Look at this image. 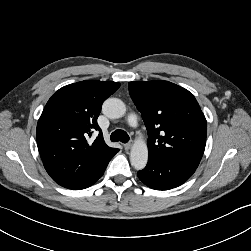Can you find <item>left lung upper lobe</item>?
<instances>
[{"mask_svg": "<svg viewBox=\"0 0 251 251\" xmlns=\"http://www.w3.org/2000/svg\"><path fill=\"white\" fill-rule=\"evenodd\" d=\"M129 93L147 128L149 158L198 167L207 122L193 94L168 81L129 82Z\"/></svg>", "mask_w": 251, "mask_h": 251, "instance_id": "obj_1", "label": "left lung upper lobe"}]
</instances>
